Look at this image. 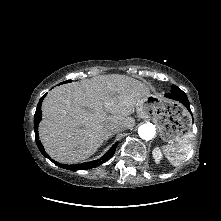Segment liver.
Here are the masks:
<instances>
[{"label": "liver", "instance_id": "obj_1", "mask_svg": "<svg viewBox=\"0 0 221 221\" xmlns=\"http://www.w3.org/2000/svg\"><path fill=\"white\" fill-rule=\"evenodd\" d=\"M148 94L145 84L119 74L55 87L42 103L40 140L56 161L79 163L105 141L108 124L132 127L135 120L130 115Z\"/></svg>", "mask_w": 221, "mask_h": 221}]
</instances>
